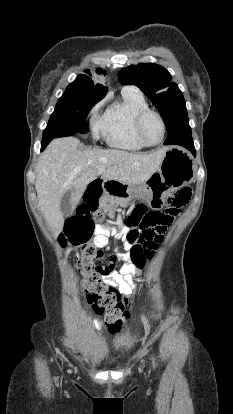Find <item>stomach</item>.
Returning <instances> with one entry per match:
<instances>
[{
  "mask_svg": "<svg viewBox=\"0 0 233 414\" xmlns=\"http://www.w3.org/2000/svg\"><path fill=\"white\" fill-rule=\"evenodd\" d=\"M194 170L193 159L189 153L170 147L158 171L153 172L150 179L139 186L119 183L113 193L126 201L145 197L150 206H159L171 192L192 180Z\"/></svg>",
  "mask_w": 233,
  "mask_h": 414,
  "instance_id": "stomach-1",
  "label": "stomach"
}]
</instances>
